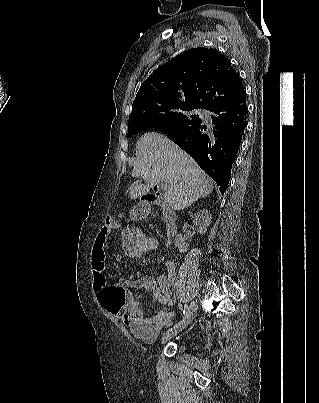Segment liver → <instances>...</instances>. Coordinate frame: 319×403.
I'll use <instances>...</instances> for the list:
<instances>
[{
    "label": "liver",
    "instance_id": "1",
    "mask_svg": "<svg viewBox=\"0 0 319 403\" xmlns=\"http://www.w3.org/2000/svg\"><path fill=\"white\" fill-rule=\"evenodd\" d=\"M137 161L132 177H141L145 184L133 185L130 198L135 200L165 182L166 203L173 210H183L213 190V182L198 164L163 134L149 132L136 143Z\"/></svg>",
    "mask_w": 319,
    "mask_h": 403
}]
</instances>
